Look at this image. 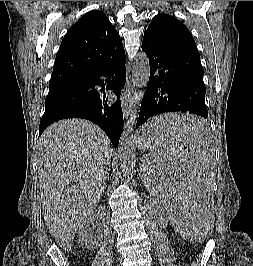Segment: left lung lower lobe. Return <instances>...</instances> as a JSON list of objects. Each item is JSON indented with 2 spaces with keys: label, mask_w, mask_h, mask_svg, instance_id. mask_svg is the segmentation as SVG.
I'll use <instances>...</instances> for the list:
<instances>
[{
  "label": "left lung lower lobe",
  "mask_w": 253,
  "mask_h": 266,
  "mask_svg": "<svg viewBox=\"0 0 253 266\" xmlns=\"http://www.w3.org/2000/svg\"><path fill=\"white\" fill-rule=\"evenodd\" d=\"M142 49L149 58L150 78L136 128L167 112H188L208 117L205 105L204 70L197 49L177 42L144 37ZM206 130L203 119L160 124L148 129L150 139L182 136L195 139Z\"/></svg>",
  "instance_id": "left-lung-lower-lobe-1"
}]
</instances>
